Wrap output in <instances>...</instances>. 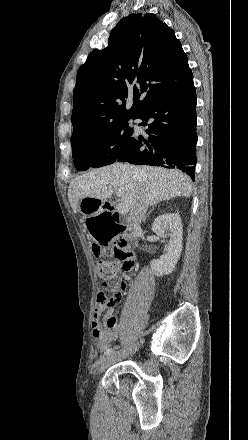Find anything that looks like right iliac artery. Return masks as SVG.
Listing matches in <instances>:
<instances>
[{
  "mask_svg": "<svg viewBox=\"0 0 248 440\" xmlns=\"http://www.w3.org/2000/svg\"><path fill=\"white\" fill-rule=\"evenodd\" d=\"M111 353H113V349H112V348H108V349H106V351L104 352V355L108 356V355H110Z\"/></svg>",
  "mask_w": 248,
  "mask_h": 440,
  "instance_id": "right-iliac-artery-1",
  "label": "right iliac artery"
}]
</instances>
